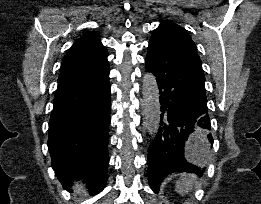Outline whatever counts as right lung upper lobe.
Instances as JSON below:
<instances>
[{"mask_svg": "<svg viewBox=\"0 0 261 204\" xmlns=\"http://www.w3.org/2000/svg\"><path fill=\"white\" fill-rule=\"evenodd\" d=\"M107 60V50L100 36L88 32L81 36L65 55L61 64V75L94 67Z\"/></svg>", "mask_w": 261, "mask_h": 204, "instance_id": "obj_1", "label": "right lung upper lobe"}]
</instances>
